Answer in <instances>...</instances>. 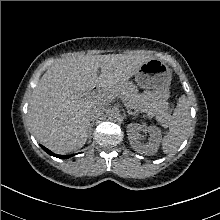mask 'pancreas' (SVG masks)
<instances>
[{"label": "pancreas", "mask_w": 220, "mask_h": 220, "mask_svg": "<svg viewBox=\"0 0 220 220\" xmlns=\"http://www.w3.org/2000/svg\"><path fill=\"white\" fill-rule=\"evenodd\" d=\"M118 95L127 103V105L133 107L139 104L141 95L136 93V86L133 83L126 82L122 90L118 92ZM152 112L156 115L162 122L167 123L170 115L167 112V107L162 102L151 103Z\"/></svg>", "instance_id": "cf45deb5"}]
</instances>
